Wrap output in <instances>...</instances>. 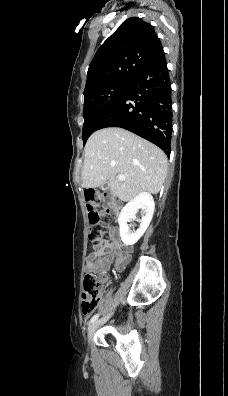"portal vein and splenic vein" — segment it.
<instances>
[{
  "instance_id": "portal-vein-and-splenic-vein-1",
  "label": "portal vein and splenic vein",
  "mask_w": 228,
  "mask_h": 396,
  "mask_svg": "<svg viewBox=\"0 0 228 396\" xmlns=\"http://www.w3.org/2000/svg\"><path fill=\"white\" fill-rule=\"evenodd\" d=\"M117 179L120 181H124L126 179L125 175H118Z\"/></svg>"
}]
</instances>
